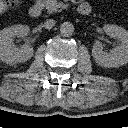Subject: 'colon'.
I'll return each mask as SVG.
<instances>
[{"instance_id": "5ec220e1", "label": "colon", "mask_w": 128, "mask_h": 128, "mask_svg": "<svg viewBox=\"0 0 128 128\" xmlns=\"http://www.w3.org/2000/svg\"><path fill=\"white\" fill-rule=\"evenodd\" d=\"M5 2L9 7H16L21 4L22 0H5Z\"/></svg>"}]
</instances>
